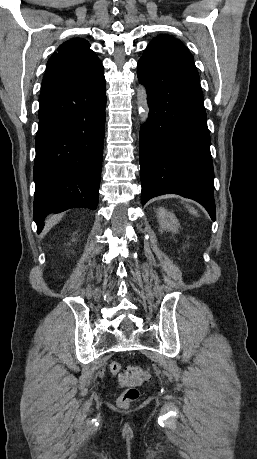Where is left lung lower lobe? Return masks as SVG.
<instances>
[{
  "instance_id": "1",
  "label": "left lung lower lobe",
  "mask_w": 257,
  "mask_h": 459,
  "mask_svg": "<svg viewBox=\"0 0 257 459\" xmlns=\"http://www.w3.org/2000/svg\"><path fill=\"white\" fill-rule=\"evenodd\" d=\"M137 67L150 108L139 142L142 204L175 193L199 202L215 220L210 134L193 59L143 55Z\"/></svg>"
}]
</instances>
